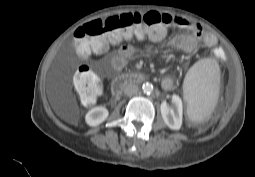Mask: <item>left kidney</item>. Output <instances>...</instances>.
<instances>
[{
	"label": "left kidney",
	"instance_id": "obj_1",
	"mask_svg": "<svg viewBox=\"0 0 255 177\" xmlns=\"http://www.w3.org/2000/svg\"><path fill=\"white\" fill-rule=\"evenodd\" d=\"M173 107L169 108L167 103H161V115L165 124L173 130H179L182 125L183 105L178 95L172 96Z\"/></svg>",
	"mask_w": 255,
	"mask_h": 177
}]
</instances>
